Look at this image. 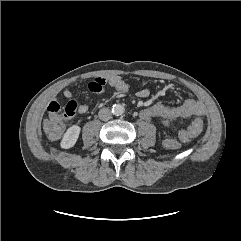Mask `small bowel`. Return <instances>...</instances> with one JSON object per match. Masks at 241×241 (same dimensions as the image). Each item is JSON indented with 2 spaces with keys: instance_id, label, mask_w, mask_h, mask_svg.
<instances>
[{
  "instance_id": "1",
  "label": "small bowel",
  "mask_w": 241,
  "mask_h": 241,
  "mask_svg": "<svg viewBox=\"0 0 241 241\" xmlns=\"http://www.w3.org/2000/svg\"><path fill=\"white\" fill-rule=\"evenodd\" d=\"M108 83L111 88H113L118 93H126L128 91V86L126 82L120 76H110L108 78ZM139 98H146L150 95V91L147 88L140 89L136 93ZM64 96L73 101L74 93L66 89L64 91ZM88 104L77 105V110L79 113H86L89 110ZM205 112L204 106L195 99H187L182 105L178 107L168 106L162 102H156L152 105L144 108L140 116L144 120H152L157 117H163L167 120L175 121L178 119H191L203 116ZM179 137L182 141H188L190 138L186 134V129L179 132Z\"/></svg>"
}]
</instances>
